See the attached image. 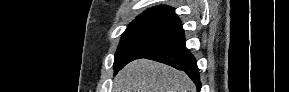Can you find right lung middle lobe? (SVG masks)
<instances>
[{
    "label": "right lung middle lobe",
    "instance_id": "obj_1",
    "mask_svg": "<svg viewBox=\"0 0 289 92\" xmlns=\"http://www.w3.org/2000/svg\"><path fill=\"white\" fill-rule=\"evenodd\" d=\"M183 39L182 25L134 20L122 34L115 53V74L130 61L174 45Z\"/></svg>",
    "mask_w": 289,
    "mask_h": 92
}]
</instances>
